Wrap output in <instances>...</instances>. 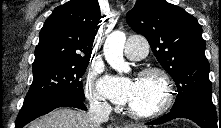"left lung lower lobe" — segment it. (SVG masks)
Segmentation results:
<instances>
[{"instance_id": "left-lung-lower-lobe-1", "label": "left lung lower lobe", "mask_w": 221, "mask_h": 128, "mask_svg": "<svg viewBox=\"0 0 221 128\" xmlns=\"http://www.w3.org/2000/svg\"><path fill=\"white\" fill-rule=\"evenodd\" d=\"M175 118H187L197 123L201 128H221V113L218 115L213 103L201 101L171 110L166 115L148 122V125L162 124Z\"/></svg>"}]
</instances>
